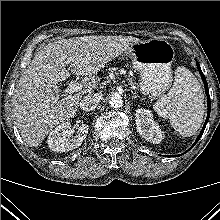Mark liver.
Here are the masks:
<instances>
[{
  "label": "liver",
  "instance_id": "obj_1",
  "mask_svg": "<svg viewBox=\"0 0 220 220\" xmlns=\"http://www.w3.org/2000/svg\"><path fill=\"white\" fill-rule=\"evenodd\" d=\"M139 41L124 36H84L58 40L41 49L22 73L12 101L23 140L38 147L56 125L73 118L82 96L97 88L95 75ZM68 64L75 75L85 76L84 88L59 100L57 84L70 76L65 68Z\"/></svg>",
  "mask_w": 220,
  "mask_h": 220
}]
</instances>
